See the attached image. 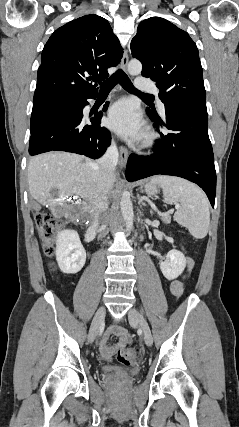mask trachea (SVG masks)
Instances as JSON below:
<instances>
[{
	"instance_id": "1",
	"label": "trachea",
	"mask_w": 239,
	"mask_h": 427,
	"mask_svg": "<svg viewBox=\"0 0 239 427\" xmlns=\"http://www.w3.org/2000/svg\"><path fill=\"white\" fill-rule=\"evenodd\" d=\"M117 83L129 92L136 93L143 97H152L150 94H145L135 89L129 77L121 69L117 70L108 80L100 85V92H110Z\"/></svg>"
}]
</instances>
